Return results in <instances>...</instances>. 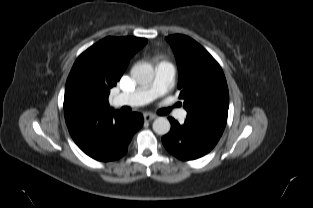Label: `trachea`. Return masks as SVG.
Wrapping results in <instances>:
<instances>
[{
    "label": "trachea",
    "instance_id": "1",
    "mask_svg": "<svg viewBox=\"0 0 313 208\" xmlns=\"http://www.w3.org/2000/svg\"><path fill=\"white\" fill-rule=\"evenodd\" d=\"M169 112H170V109H169V108H168V109H161V110L159 111V113H160L161 115H167Z\"/></svg>",
    "mask_w": 313,
    "mask_h": 208
}]
</instances>
